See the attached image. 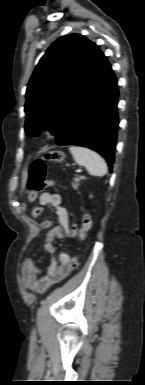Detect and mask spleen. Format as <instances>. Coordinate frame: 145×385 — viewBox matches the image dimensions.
I'll return each instance as SVG.
<instances>
[{
    "label": "spleen",
    "instance_id": "spleen-1",
    "mask_svg": "<svg viewBox=\"0 0 145 385\" xmlns=\"http://www.w3.org/2000/svg\"><path fill=\"white\" fill-rule=\"evenodd\" d=\"M75 162L86 167L93 176H104L108 172V167L104 159L93 150L81 146H71L69 148Z\"/></svg>",
    "mask_w": 145,
    "mask_h": 385
}]
</instances>
